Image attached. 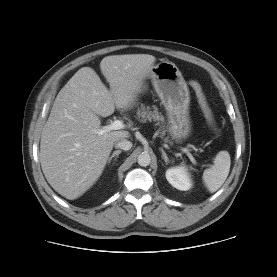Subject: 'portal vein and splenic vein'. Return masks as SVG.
<instances>
[{
    "mask_svg": "<svg viewBox=\"0 0 277 277\" xmlns=\"http://www.w3.org/2000/svg\"><path fill=\"white\" fill-rule=\"evenodd\" d=\"M123 128H124V124H123L122 121H120V120H114L113 122H111V124L106 125V126L102 127L101 129H98L97 133L102 135V134L111 132L113 130H120V129H123ZM193 149L196 150V151L198 150V149H196L194 147H193ZM183 151L187 154V156L189 157L191 162L193 164H196V160L194 159L193 155L189 152V150L184 148Z\"/></svg>",
    "mask_w": 277,
    "mask_h": 277,
    "instance_id": "obj_1",
    "label": "portal vein and splenic vein"
}]
</instances>
